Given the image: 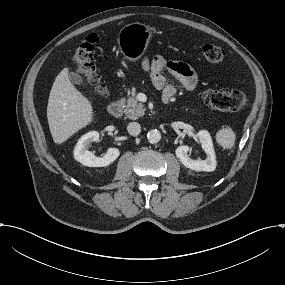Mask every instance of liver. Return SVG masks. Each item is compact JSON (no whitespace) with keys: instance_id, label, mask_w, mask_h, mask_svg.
Here are the masks:
<instances>
[{"instance_id":"1","label":"liver","mask_w":285,"mask_h":285,"mask_svg":"<svg viewBox=\"0 0 285 285\" xmlns=\"http://www.w3.org/2000/svg\"><path fill=\"white\" fill-rule=\"evenodd\" d=\"M47 118L57 144L66 141L93 119L92 105L69 80L68 68L55 78L49 95Z\"/></svg>"}]
</instances>
